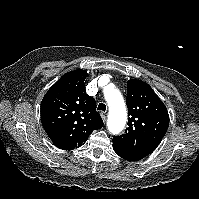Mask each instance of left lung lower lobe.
Here are the masks:
<instances>
[{"instance_id": "0a47b994", "label": "left lung lower lobe", "mask_w": 199, "mask_h": 199, "mask_svg": "<svg viewBox=\"0 0 199 199\" xmlns=\"http://www.w3.org/2000/svg\"><path fill=\"white\" fill-rule=\"evenodd\" d=\"M113 149H114V151L116 152L117 155H119L120 157H122L125 160L138 161V160L142 159V157L137 156V155L123 149L122 147H120L116 144H113Z\"/></svg>"}]
</instances>
